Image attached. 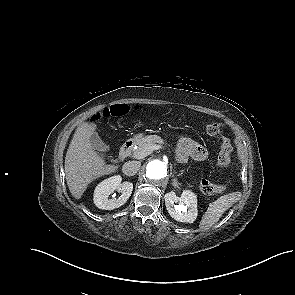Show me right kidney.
<instances>
[{
	"instance_id": "ca27d5eb",
	"label": "right kidney",
	"mask_w": 295,
	"mask_h": 295,
	"mask_svg": "<svg viewBox=\"0 0 295 295\" xmlns=\"http://www.w3.org/2000/svg\"><path fill=\"white\" fill-rule=\"evenodd\" d=\"M121 176L110 177L97 185L94 191V203L102 210H113L124 205L130 197L133 184L130 182H121ZM115 190L121 192V195L116 198L115 195L109 198Z\"/></svg>"
}]
</instances>
